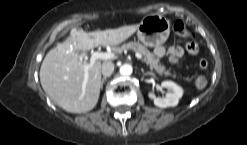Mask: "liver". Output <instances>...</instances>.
Instances as JSON below:
<instances>
[{
  "label": "liver",
  "instance_id": "liver-1",
  "mask_svg": "<svg viewBox=\"0 0 247 145\" xmlns=\"http://www.w3.org/2000/svg\"><path fill=\"white\" fill-rule=\"evenodd\" d=\"M139 24L116 29L85 33L73 28L64 42L58 43L45 56L40 68V82L54 104L71 113L92 110L99 99L101 87V62L96 61L88 70L84 84L83 62L79 51H88L95 46H116L127 40ZM90 64V63H89Z\"/></svg>",
  "mask_w": 247,
  "mask_h": 145
}]
</instances>
